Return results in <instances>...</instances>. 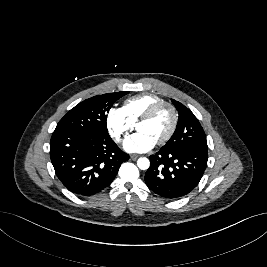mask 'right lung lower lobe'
<instances>
[{"instance_id": "right-lung-lower-lobe-1", "label": "right lung lower lobe", "mask_w": 267, "mask_h": 267, "mask_svg": "<svg viewBox=\"0 0 267 267\" xmlns=\"http://www.w3.org/2000/svg\"><path fill=\"white\" fill-rule=\"evenodd\" d=\"M50 157L59 180L79 196L107 187L129 159L109 134L56 131L50 141Z\"/></svg>"}]
</instances>
